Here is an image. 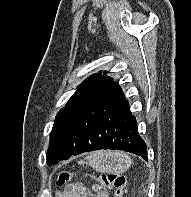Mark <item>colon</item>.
Returning a JSON list of instances; mask_svg holds the SVG:
<instances>
[{
    "label": "colon",
    "mask_w": 191,
    "mask_h": 197,
    "mask_svg": "<svg viewBox=\"0 0 191 197\" xmlns=\"http://www.w3.org/2000/svg\"><path fill=\"white\" fill-rule=\"evenodd\" d=\"M75 175L68 171H60L57 175V186H63L69 183ZM94 179L101 184L103 189L113 191V197H123L125 192L126 179L121 174L116 173H102L96 175Z\"/></svg>",
    "instance_id": "1"
}]
</instances>
